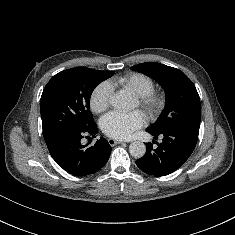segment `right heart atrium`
Here are the masks:
<instances>
[{"instance_id":"d8ad5b80","label":"right heart atrium","mask_w":235,"mask_h":235,"mask_svg":"<svg viewBox=\"0 0 235 235\" xmlns=\"http://www.w3.org/2000/svg\"><path fill=\"white\" fill-rule=\"evenodd\" d=\"M112 87L108 82L98 84L90 95L89 105L92 112L99 114L104 112L111 103Z\"/></svg>"}]
</instances>
